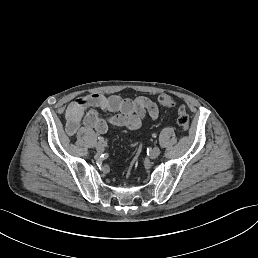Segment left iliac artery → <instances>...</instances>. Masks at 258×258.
<instances>
[{
	"label": "left iliac artery",
	"mask_w": 258,
	"mask_h": 258,
	"mask_svg": "<svg viewBox=\"0 0 258 258\" xmlns=\"http://www.w3.org/2000/svg\"><path fill=\"white\" fill-rule=\"evenodd\" d=\"M152 137H153V138H156V137H157V134H156V133H153V134H152Z\"/></svg>",
	"instance_id": "left-iliac-artery-1"
}]
</instances>
